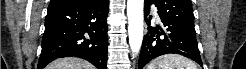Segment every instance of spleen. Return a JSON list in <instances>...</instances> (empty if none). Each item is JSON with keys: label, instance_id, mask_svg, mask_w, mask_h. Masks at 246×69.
I'll return each mask as SVG.
<instances>
[{"label": "spleen", "instance_id": "spleen-1", "mask_svg": "<svg viewBox=\"0 0 246 69\" xmlns=\"http://www.w3.org/2000/svg\"><path fill=\"white\" fill-rule=\"evenodd\" d=\"M149 69H198L197 65L180 55H164L154 60Z\"/></svg>", "mask_w": 246, "mask_h": 69}]
</instances>
